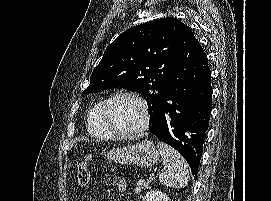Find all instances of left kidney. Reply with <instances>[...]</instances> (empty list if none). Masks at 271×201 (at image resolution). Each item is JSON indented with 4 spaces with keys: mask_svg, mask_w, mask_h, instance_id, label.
Returning <instances> with one entry per match:
<instances>
[{
    "mask_svg": "<svg viewBox=\"0 0 271 201\" xmlns=\"http://www.w3.org/2000/svg\"><path fill=\"white\" fill-rule=\"evenodd\" d=\"M168 196L161 192L156 190L149 191L143 198L142 201H168Z\"/></svg>",
    "mask_w": 271,
    "mask_h": 201,
    "instance_id": "1",
    "label": "left kidney"
}]
</instances>
